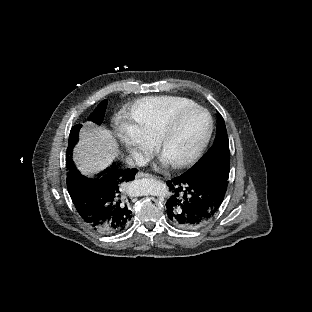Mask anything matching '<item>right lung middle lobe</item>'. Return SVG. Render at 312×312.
I'll list each match as a JSON object with an SVG mask.
<instances>
[{"mask_svg": "<svg viewBox=\"0 0 312 312\" xmlns=\"http://www.w3.org/2000/svg\"><path fill=\"white\" fill-rule=\"evenodd\" d=\"M107 106V100L102 101L96 109L90 114L88 120L93 121L94 123L100 125L103 121L104 114H105V109ZM82 127L81 124L75 125L72 127L70 131V136H69V144L66 152V163L70 162L72 159V151L75 146V144L78 141V134L79 130Z\"/></svg>", "mask_w": 312, "mask_h": 312, "instance_id": "dd1d6c3e", "label": "right lung middle lobe"}]
</instances>
